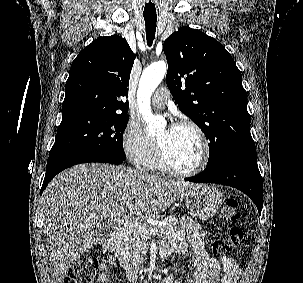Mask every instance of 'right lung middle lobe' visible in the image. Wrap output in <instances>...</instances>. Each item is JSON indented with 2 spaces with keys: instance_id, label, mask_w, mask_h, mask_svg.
<instances>
[{
  "instance_id": "right-lung-middle-lobe-1",
  "label": "right lung middle lobe",
  "mask_w": 303,
  "mask_h": 283,
  "mask_svg": "<svg viewBox=\"0 0 303 283\" xmlns=\"http://www.w3.org/2000/svg\"><path fill=\"white\" fill-rule=\"evenodd\" d=\"M128 116L83 112L62 117L49 157L96 153L125 160L123 135Z\"/></svg>"
}]
</instances>
